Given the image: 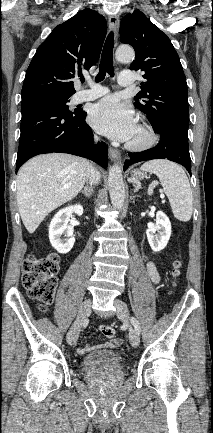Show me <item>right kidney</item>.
<instances>
[{"label":"right kidney","instance_id":"ca27d5eb","mask_svg":"<svg viewBox=\"0 0 213 433\" xmlns=\"http://www.w3.org/2000/svg\"><path fill=\"white\" fill-rule=\"evenodd\" d=\"M72 214L81 216L83 207L80 204L68 206L59 210L49 226V240L51 245L61 254L68 253L75 243L73 227L69 225ZM64 235V238H61Z\"/></svg>","mask_w":213,"mask_h":433}]
</instances>
